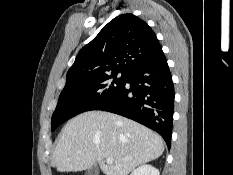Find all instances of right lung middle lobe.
Segmentation results:
<instances>
[{"mask_svg": "<svg viewBox=\"0 0 233 175\" xmlns=\"http://www.w3.org/2000/svg\"><path fill=\"white\" fill-rule=\"evenodd\" d=\"M110 72L66 82L52 115L55 130L64 121L85 111L95 110L110 101L124 86L127 73Z\"/></svg>", "mask_w": 233, "mask_h": 175, "instance_id": "obj_1", "label": "right lung middle lobe"}]
</instances>
